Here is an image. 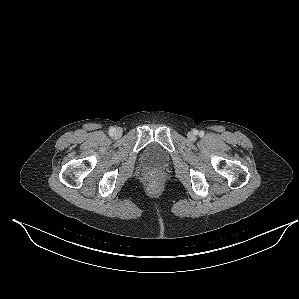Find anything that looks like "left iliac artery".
Listing matches in <instances>:
<instances>
[{
	"label": "left iliac artery",
	"mask_w": 299,
	"mask_h": 299,
	"mask_svg": "<svg viewBox=\"0 0 299 299\" xmlns=\"http://www.w3.org/2000/svg\"><path fill=\"white\" fill-rule=\"evenodd\" d=\"M202 134H203V132L201 131V132H200V135H202Z\"/></svg>",
	"instance_id": "left-iliac-artery-1"
}]
</instances>
